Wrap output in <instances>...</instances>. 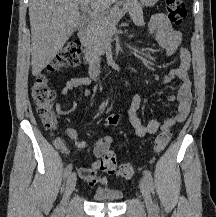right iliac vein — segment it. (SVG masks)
<instances>
[{"instance_id": "63e3f726", "label": "right iliac vein", "mask_w": 216, "mask_h": 217, "mask_svg": "<svg viewBox=\"0 0 216 217\" xmlns=\"http://www.w3.org/2000/svg\"><path fill=\"white\" fill-rule=\"evenodd\" d=\"M75 185H76V174L71 173L68 176V179H67V182H66L65 194H64L63 200L61 202L60 208H59L60 213L65 212L69 197L72 194V192L74 191Z\"/></svg>"}]
</instances>
